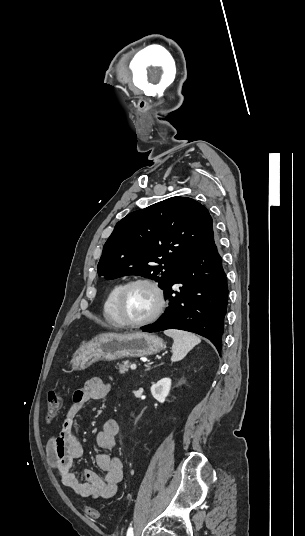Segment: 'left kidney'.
Here are the masks:
<instances>
[{
  "label": "left kidney",
  "mask_w": 305,
  "mask_h": 536,
  "mask_svg": "<svg viewBox=\"0 0 305 536\" xmlns=\"http://www.w3.org/2000/svg\"><path fill=\"white\" fill-rule=\"evenodd\" d=\"M171 388V380L170 378H162V380H159L157 384H153L151 386V394L157 402H165L167 396H169Z\"/></svg>",
  "instance_id": "5707ae66"
}]
</instances>
